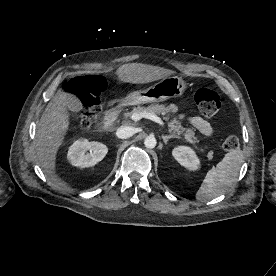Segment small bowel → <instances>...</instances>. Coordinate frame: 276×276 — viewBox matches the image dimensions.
Wrapping results in <instances>:
<instances>
[{"label":"small bowel","mask_w":276,"mask_h":276,"mask_svg":"<svg viewBox=\"0 0 276 276\" xmlns=\"http://www.w3.org/2000/svg\"><path fill=\"white\" fill-rule=\"evenodd\" d=\"M184 115L180 114L179 118H183ZM188 122L196 128L200 133L205 136H211L213 134V127L211 124L201 116H192L187 118Z\"/></svg>","instance_id":"1"}]
</instances>
